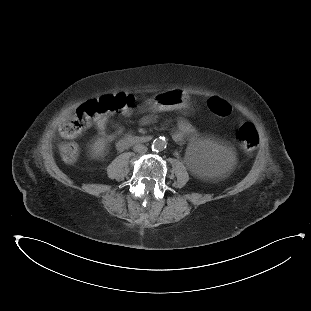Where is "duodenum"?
Listing matches in <instances>:
<instances>
[{"instance_id":"duodenum-1","label":"duodenum","mask_w":311,"mask_h":311,"mask_svg":"<svg viewBox=\"0 0 311 311\" xmlns=\"http://www.w3.org/2000/svg\"><path fill=\"white\" fill-rule=\"evenodd\" d=\"M151 142V138L146 135L127 134L122 136L117 142L119 150H126L137 145H146Z\"/></svg>"}]
</instances>
